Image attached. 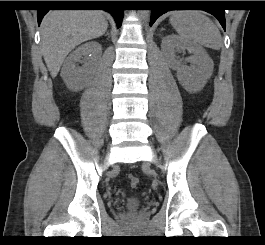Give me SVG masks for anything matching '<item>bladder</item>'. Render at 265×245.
<instances>
[{
  "label": "bladder",
  "instance_id": "bladder-1",
  "mask_svg": "<svg viewBox=\"0 0 265 245\" xmlns=\"http://www.w3.org/2000/svg\"><path fill=\"white\" fill-rule=\"evenodd\" d=\"M140 205V200L137 197H132L128 200V206L131 208H137Z\"/></svg>",
  "mask_w": 265,
  "mask_h": 245
}]
</instances>
